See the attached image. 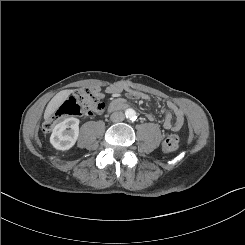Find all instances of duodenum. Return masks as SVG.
<instances>
[{
	"label": "duodenum",
	"mask_w": 245,
	"mask_h": 245,
	"mask_svg": "<svg viewBox=\"0 0 245 245\" xmlns=\"http://www.w3.org/2000/svg\"><path fill=\"white\" fill-rule=\"evenodd\" d=\"M126 107H127V105H126V104H123V105L117 107V110H118V109H122V108H126Z\"/></svg>",
	"instance_id": "duodenum-1"
}]
</instances>
